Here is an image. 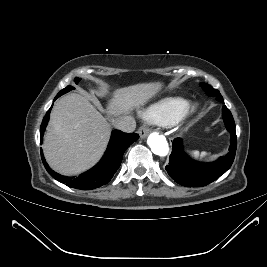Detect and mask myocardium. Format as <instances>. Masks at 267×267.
Listing matches in <instances>:
<instances>
[{"instance_id": "obj_1", "label": "myocardium", "mask_w": 267, "mask_h": 267, "mask_svg": "<svg viewBox=\"0 0 267 267\" xmlns=\"http://www.w3.org/2000/svg\"><path fill=\"white\" fill-rule=\"evenodd\" d=\"M198 110V105L195 103L189 104L185 107V109L183 110V112L181 113V115L179 116V118L177 120H181L187 116L193 115L194 113H196Z\"/></svg>"}]
</instances>
